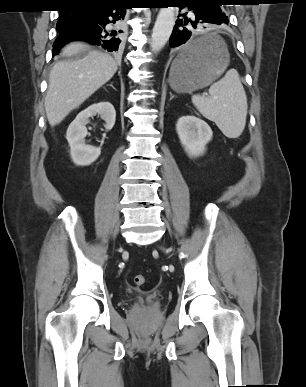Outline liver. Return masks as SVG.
<instances>
[{"label":"liver","instance_id":"6515ba94","mask_svg":"<svg viewBox=\"0 0 306 387\" xmlns=\"http://www.w3.org/2000/svg\"><path fill=\"white\" fill-rule=\"evenodd\" d=\"M79 53L83 57L71 58ZM67 60L57 62L49 76L45 111L51 126L59 124L72 110L107 83L117 71V63L107 53L82 42L62 49Z\"/></svg>","mask_w":306,"mask_h":387}]
</instances>
